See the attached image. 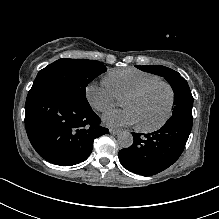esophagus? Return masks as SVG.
I'll use <instances>...</instances> for the list:
<instances>
[{
    "label": "esophagus",
    "mask_w": 219,
    "mask_h": 219,
    "mask_svg": "<svg viewBox=\"0 0 219 219\" xmlns=\"http://www.w3.org/2000/svg\"><path fill=\"white\" fill-rule=\"evenodd\" d=\"M109 131L112 135H118L121 132V130L117 128H111Z\"/></svg>",
    "instance_id": "1"
}]
</instances>
